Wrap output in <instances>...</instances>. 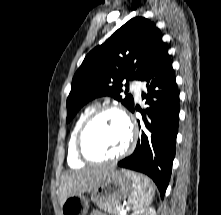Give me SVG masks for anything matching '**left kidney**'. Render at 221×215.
<instances>
[{"instance_id":"obj_1","label":"left kidney","mask_w":221,"mask_h":215,"mask_svg":"<svg viewBox=\"0 0 221 215\" xmlns=\"http://www.w3.org/2000/svg\"><path fill=\"white\" fill-rule=\"evenodd\" d=\"M131 215H156V211L152 207L143 208L141 210L135 211Z\"/></svg>"}]
</instances>
